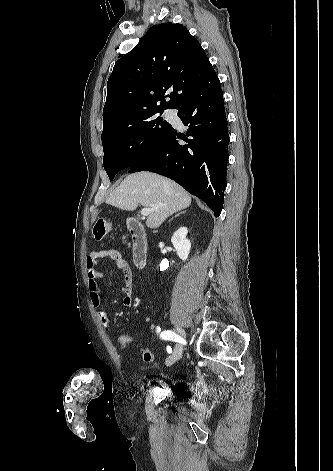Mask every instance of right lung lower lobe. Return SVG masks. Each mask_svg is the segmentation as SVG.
I'll return each instance as SVG.
<instances>
[{"label": "right lung lower lobe", "instance_id": "right-lung-lower-lobe-1", "mask_svg": "<svg viewBox=\"0 0 333 471\" xmlns=\"http://www.w3.org/2000/svg\"><path fill=\"white\" fill-rule=\"evenodd\" d=\"M176 109L183 124L189 126L186 135L191 138L184 139L172 127L129 173L151 171L166 176L206 202L217 217L227 184L229 134L216 73L195 87Z\"/></svg>", "mask_w": 333, "mask_h": 471}]
</instances>
